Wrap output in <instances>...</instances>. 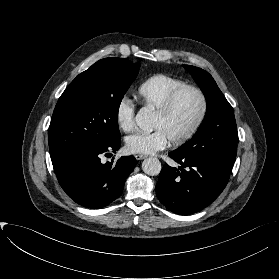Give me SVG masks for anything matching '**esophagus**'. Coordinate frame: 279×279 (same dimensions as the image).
I'll list each match as a JSON object with an SVG mask.
<instances>
[{"mask_svg":"<svg viewBox=\"0 0 279 279\" xmlns=\"http://www.w3.org/2000/svg\"><path fill=\"white\" fill-rule=\"evenodd\" d=\"M147 156L146 155H143V154H137V155H135V158L137 159V160H143V159H145Z\"/></svg>","mask_w":279,"mask_h":279,"instance_id":"esophagus-1","label":"esophagus"}]
</instances>
